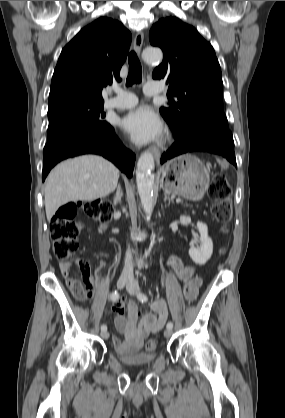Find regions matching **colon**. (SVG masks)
Wrapping results in <instances>:
<instances>
[{"mask_svg": "<svg viewBox=\"0 0 285 418\" xmlns=\"http://www.w3.org/2000/svg\"><path fill=\"white\" fill-rule=\"evenodd\" d=\"M208 197L212 200L211 213L215 220L222 223V231H227L226 222L232 214L231 192L227 185L226 177L223 174H216L208 189ZM85 216L94 218L103 223L111 220V209L108 204L100 201H89L80 204L68 203L63 205L52 217L50 222V236L53 242V253L55 257L62 261H67L79 249L77 237L81 232L82 223L77 220L78 217ZM220 254L224 249H219ZM68 263L65 262V269ZM73 294L78 301H86L90 297L88 287L77 281L73 286ZM192 300V299H189ZM157 347V341L149 338L145 342L147 352L154 351Z\"/></svg>", "mask_w": 285, "mask_h": 418, "instance_id": "5ec220e1", "label": "colon"}]
</instances>
